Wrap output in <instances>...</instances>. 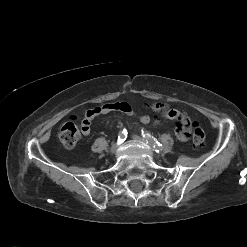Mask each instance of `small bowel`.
I'll return each instance as SVG.
<instances>
[{
	"label": "small bowel",
	"instance_id": "small-bowel-1",
	"mask_svg": "<svg viewBox=\"0 0 247 247\" xmlns=\"http://www.w3.org/2000/svg\"><path fill=\"white\" fill-rule=\"evenodd\" d=\"M113 111H121L128 115H133V110L131 106L126 102H116L110 104H104L102 106L88 110L82 120V132L84 135L90 134V126L93 120L96 118L106 115ZM167 118L175 120L177 123L176 136L179 140H186L189 135V119L187 115L177 109H172L168 111L165 115ZM140 121L144 124L150 122V117L148 115H141L139 117Z\"/></svg>",
	"mask_w": 247,
	"mask_h": 247
}]
</instances>
